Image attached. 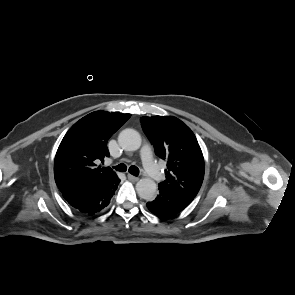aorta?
Listing matches in <instances>:
<instances>
[{"instance_id": "aorta-1", "label": "aorta", "mask_w": 295, "mask_h": 295, "mask_svg": "<svg viewBox=\"0 0 295 295\" xmlns=\"http://www.w3.org/2000/svg\"><path fill=\"white\" fill-rule=\"evenodd\" d=\"M140 134L131 128L124 129L118 136L119 145L127 151H136L141 146ZM136 191L140 198L152 201L156 197L157 185L150 178H142L136 184Z\"/></svg>"}]
</instances>
